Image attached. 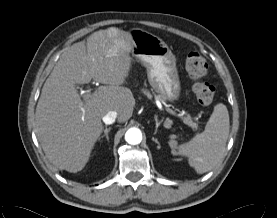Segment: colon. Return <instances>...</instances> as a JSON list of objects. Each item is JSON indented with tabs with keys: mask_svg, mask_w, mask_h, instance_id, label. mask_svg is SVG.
Segmentation results:
<instances>
[{
	"mask_svg": "<svg viewBox=\"0 0 277 218\" xmlns=\"http://www.w3.org/2000/svg\"><path fill=\"white\" fill-rule=\"evenodd\" d=\"M185 69L193 80V92L201 105H209L215 96V87L205 77L208 73V64L203 55L197 51L188 53L185 60Z\"/></svg>",
	"mask_w": 277,
	"mask_h": 218,
	"instance_id": "5ec220e1",
	"label": "colon"
}]
</instances>
